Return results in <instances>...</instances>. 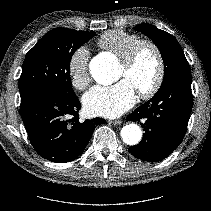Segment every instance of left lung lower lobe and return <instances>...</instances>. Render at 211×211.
I'll list each match as a JSON object with an SVG mask.
<instances>
[{
  "mask_svg": "<svg viewBox=\"0 0 211 211\" xmlns=\"http://www.w3.org/2000/svg\"><path fill=\"white\" fill-rule=\"evenodd\" d=\"M193 105L191 74L175 76L149 101L127 116L145 131L140 144L129 147L136 158L155 162L168 157L182 142Z\"/></svg>",
  "mask_w": 211,
  "mask_h": 211,
  "instance_id": "0a47b994",
  "label": "left lung lower lobe"
}]
</instances>
